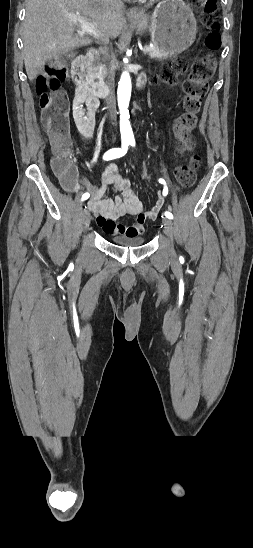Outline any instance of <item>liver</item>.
Listing matches in <instances>:
<instances>
[{"label": "liver", "mask_w": 253, "mask_h": 548, "mask_svg": "<svg viewBox=\"0 0 253 548\" xmlns=\"http://www.w3.org/2000/svg\"><path fill=\"white\" fill-rule=\"evenodd\" d=\"M89 17L101 39L116 38L124 25V5L118 0H27L23 24V59L33 81L46 62L76 47L92 44L74 16ZM80 26V25H79Z\"/></svg>", "instance_id": "6515ba94"}]
</instances>
